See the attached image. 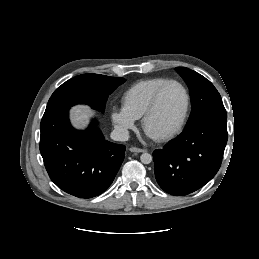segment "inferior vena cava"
<instances>
[{
	"label": "inferior vena cava",
	"instance_id": "inferior-vena-cava-1",
	"mask_svg": "<svg viewBox=\"0 0 259 259\" xmlns=\"http://www.w3.org/2000/svg\"><path fill=\"white\" fill-rule=\"evenodd\" d=\"M110 136L115 141H127L129 139V132L122 126H116Z\"/></svg>",
	"mask_w": 259,
	"mask_h": 259
}]
</instances>
